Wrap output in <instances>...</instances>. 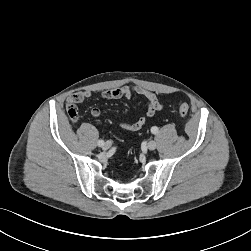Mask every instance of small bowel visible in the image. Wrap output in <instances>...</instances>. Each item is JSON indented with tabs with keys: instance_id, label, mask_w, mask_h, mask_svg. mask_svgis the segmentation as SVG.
Masks as SVG:
<instances>
[{
	"instance_id": "c3829d8e",
	"label": "small bowel",
	"mask_w": 251,
	"mask_h": 251,
	"mask_svg": "<svg viewBox=\"0 0 251 251\" xmlns=\"http://www.w3.org/2000/svg\"><path fill=\"white\" fill-rule=\"evenodd\" d=\"M135 94L145 98L147 102V108L145 114L141 116L137 121L132 123L124 121L120 122V127L125 131H139L145 125L149 118L154 116L155 113L162 110V104L159 101L157 95L151 91H148L140 86L135 85H124L122 87L106 90L101 94L102 98L108 100L130 98ZM92 97L93 93L90 91H78L71 94L66 100L67 110L69 111L71 108H73L77 111V104L83 102L85 99H89ZM90 112L94 118H99L101 116V110L97 106L92 107Z\"/></svg>"
}]
</instances>
